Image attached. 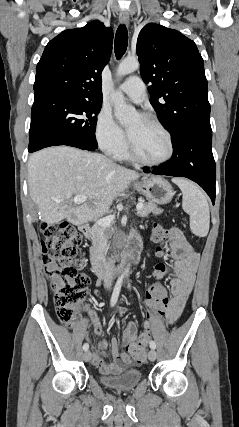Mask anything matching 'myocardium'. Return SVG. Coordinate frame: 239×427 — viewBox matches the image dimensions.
<instances>
[{
  "label": "myocardium",
  "instance_id": "myocardium-1",
  "mask_svg": "<svg viewBox=\"0 0 239 427\" xmlns=\"http://www.w3.org/2000/svg\"><path fill=\"white\" fill-rule=\"evenodd\" d=\"M140 117L144 121L154 125L158 129H160L164 133V135L166 136V138L168 140L169 151H168V154L161 160H158V161L146 160L137 153V151L135 150L129 136H127V148L126 149H127V153L129 155V158H131L133 161H135L139 164H142L145 166H150V167L161 166V165L169 162L175 154V144H174V139H173L171 132L159 120H157L152 115L141 114Z\"/></svg>",
  "mask_w": 239,
  "mask_h": 427
}]
</instances>
